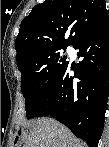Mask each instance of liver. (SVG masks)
Wrapping results in <instances>:
<instances>
[{"label":"liver","mask_w":109,"mask_h":147,"mask_svg":"<svg viewBox=\"0 0 109 147\" xmlns=\"http://www.w3.org/2000/svg\"><path fill=\"white\" fill-rule=\"evenodd\" d=\"M29 134L24 147H85L63 124L52 118H39L28 123Z\"/></svg>","instance_id":"6515ba94"}]
</instances>
